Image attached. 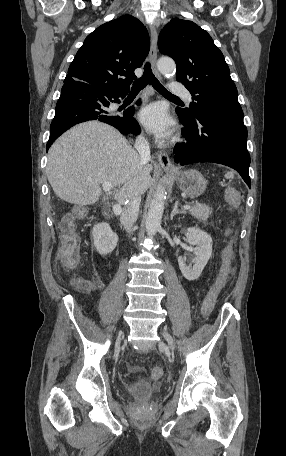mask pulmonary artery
Returning a JSON list of instances; mask_svg holds the SVG:
<instances>
[{
	"mask_svg": "<svg viewBox=\"0 0 286 456\" xmlns=\"http://www.w3.org/2000/svg\"><path fill=\"white\" fill-rule=\"evenodd\" d=\"M175 84V83H174ZM172 93L176 96H181V97H185L187 99H190V93L187 89L183 88V87H179V86H176V85H173L172 87Z\"/></svg>",
	"mask_w": 286,
	"mask_h": 456,
	"instance_id": "obj_1",
	"label": "pulmonary artery"
}]
</instances>
